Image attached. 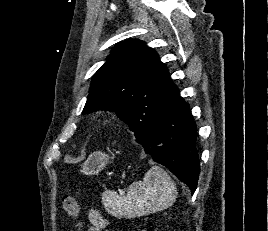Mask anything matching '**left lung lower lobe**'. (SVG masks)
Here are the masks:
<instances>
[{
  "mask_svg": "<svg viewBox=\"0 0 268 231\" xmlns=\"http://www.w3.org/2000/svg\"><path fill=\"white\" fill-rule=\"evenodd\" d=\"M196 139L197 127L189 105L179 96L151 131L137 142L194 193L200 172Z\"/></svg>",
  "mask_w": 268,
  "mask_h": 231,
  "instance_id": "left-lung-lower-lobe-1",
  "label": "left lung lower lobe"
}]
</instances>
